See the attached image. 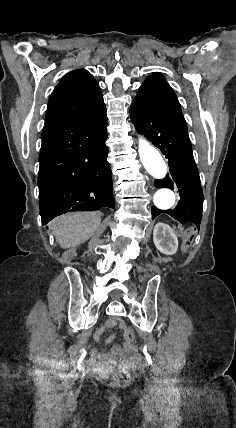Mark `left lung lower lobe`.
<instances>
[{
    "label": "left lung lower lobe",
    "mask_w": 236,
    "mask_h": 428,
    "mask_svg": "<svg viewBox=\"0 0 236 428\" xmlns=\"http://www.w3.org/2000/svg\"><path fill=\"white\" fill-rule=\"evenodd\" d=\"M130 115L138 132L144 134L169 160L170 175L156 180L155 187L177 190L180 196L173 210H159L153 206L152 219L166 213L182 224L193 223L199 229L204 196L184 117L134 107H131Z\"/></svg>",
    "instance_id": "obj_1"
}]
</instances>
